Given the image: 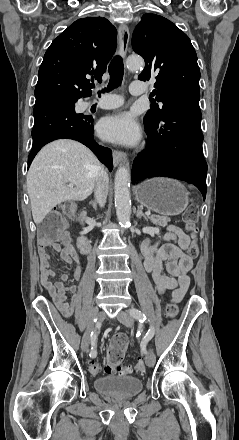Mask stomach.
Here are the masks:
<instances>
[{
    "instance_id": "obj_1",
    "label": "stomach",
    "mask_w": 239,
    "mask_h": 440,
    "mask_svg": "<svg viewBox=\"0 0 239 440\" xmlns=\"http://www.w3.org/2000/svg\"><path fill=\"white\" fill-rule=\"evenodd\" d=\"M135 200L162 216H177L184 212L189 202L185 186L170 178H152L134 188Z\"/></svg>"
}]
</instances>
